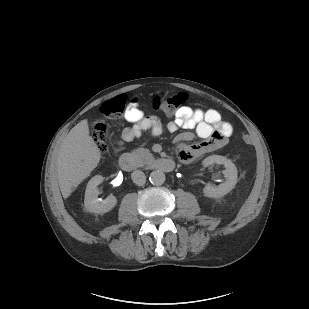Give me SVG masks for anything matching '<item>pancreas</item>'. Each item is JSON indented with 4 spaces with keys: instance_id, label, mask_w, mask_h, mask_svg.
<instances>
[{
    "instance_id": "cf45deb5",
    "label": "pancreas",
    "mask_w": 309,
    "mask_h": 309,
    "mask_svg": "<svg viewBox=\"0 0 309 309\" xmlns=\"http://www.w3.org/2000/svg\"><path fill=\"white\" fill-rule=\"evenodd\" d=\"M130 155L138 167L143 166L154 158L150 151L145 148H137Z\"/></svg>"
}]
</instances>
